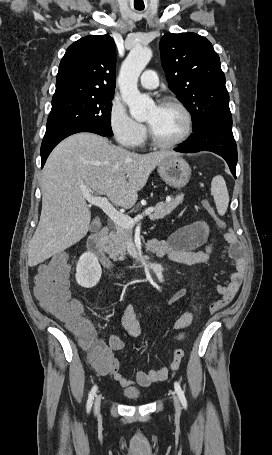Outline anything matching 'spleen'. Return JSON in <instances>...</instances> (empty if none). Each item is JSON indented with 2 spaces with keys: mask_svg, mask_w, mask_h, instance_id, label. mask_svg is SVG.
Here are the masks:
<instances>
[{
  "mask_svg": "<svg viewBox=\"0 0 272 455\" xmlns=\"http://www.w3.org/2000/svg\"><path fill=\"white\" fill-rule=\"evenodd\" d=\"M211 194L214 198L218 214L223 216L228 208L229 194L226 182L222 176L217 175L212 179Z\"/></svg>",
  "mask_w": 272,
  "mask_h": 455,
  "instance_id": "1",
  "label": "spleen"
}]
</instances>
